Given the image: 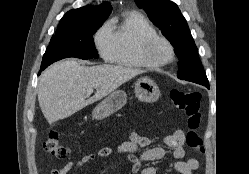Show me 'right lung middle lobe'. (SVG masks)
<instances>
[{"label":"right lung middle lobe","mask_w":249,"mask_h":174,"mask_svg":"<svg viewBox=\"0 0 249 174\" xmlns=\"http://www.w3.org/2000/svg\"><path fill=\"white\" fill-rule=\"evenodd\" d=\"M103 22L104 21L92 22L79 28L56 31V34L52 36L50 44L43 56L41 70H44L53 62L64 58H98V53L94 46L93 35Z\"/></svg>","instance_id":"obj_1"}]
</instances>
